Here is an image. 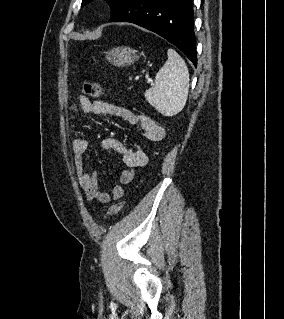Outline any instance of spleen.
<instances>
[{
	"instance_id": "3e777b00",
	"label": "spleen",
	"mask_w": 284,
	"mask_h": 319,
	"mask_svg": "<svg viewBox=\"0 0 284 319\" xmlns=\"http://www.w3.org/2000/svg\"><path fill=\"white\" fill-rule=\"evenodd\" d=\"M155 77L154 85L146 90V100L164 116H174L185 106L189 89V72L184 60L173 49Z\"/></svg>"
}]
</instances>
